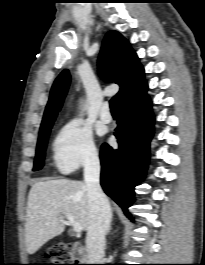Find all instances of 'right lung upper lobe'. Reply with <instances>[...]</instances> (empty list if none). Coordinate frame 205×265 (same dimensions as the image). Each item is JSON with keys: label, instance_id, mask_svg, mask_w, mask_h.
I'll use <instances>...</instances> for the list:
<instances>
[{"label": "right lung upper lobe", "instance_id": "1", "mask_svg": "<svg viewBox=\"0 0 205 265\" xmlns=\"http://www.w3.org/2000/svg\"><path fill=\"white\" fill-rule=\"evenodd\" d=\"M99 70L103 79L120 86L117 93L120 109L138 102L146 95L148 86L144 79V69L128 41L117 31H109L104 38ZM69 83V72L64 70L52 85L40 130L53 125Z\"/></svg>", "mask_w": 205, "mask_h": 265}]
</instances>
